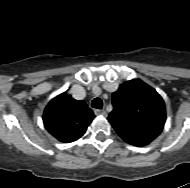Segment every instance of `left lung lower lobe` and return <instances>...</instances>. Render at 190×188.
<instances>
[{"mask_svg":"<svg viewBox=\"0 0 190 188\" xmlns=\"http://www.w3.org/2000/svg\"><path fill=\"white\" fill-rule=\"evenodd\" d=\"M118 135L127 143L134 146H145L152 142L156 136L136 133L124 128L114 127Z\"/></svg>","mask_w":190,"mask_h":188,"instance_id":"obj_1","label":"left lung lower lobe"}]
</instances>
